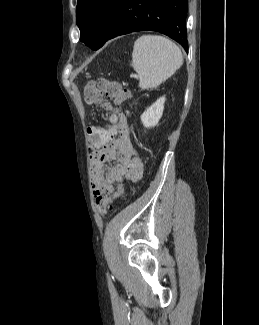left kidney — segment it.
I'll list each match as a JSON object with an SVG mask.
<instances>
[{
	"mask_svg": "<svg viewBox=\"0 0 259 325\" xmlns=\"http://www.w3.org/2000/svg\"><path fill=\"white\" fill-rule=\"evenodd\" d=\"M165 97H160L141 115V121L146 128L154 127L158 124L164 110Z\"/></svg>",
	"mask_w": 259,
	"mask_h": 325,
	"instance_id": "obj_1",
	"label": "left kidney"
}]
</instances>
